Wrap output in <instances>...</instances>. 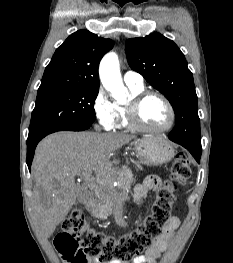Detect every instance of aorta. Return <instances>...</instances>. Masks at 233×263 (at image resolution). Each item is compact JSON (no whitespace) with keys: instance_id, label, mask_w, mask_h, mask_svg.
I'll list each match as a JSON object with an SVG mask.
<instances>
[{"instance_id":"obj_1","label":"aorta","mask_w":233,"mask_h":263,"mask_svg":"<svg viewBox=\"0 0 233 263\" xmlns=\"http://www.w3.org/2000/svg\"><path fill=\"white\" fill-rule=\"evenodd\" d=\"M101 82L106 90L110 91L119 103H125L127 89L120 74L118 56L114 52L106 54L99 68Z\"/></svg>"}]
</instances>
